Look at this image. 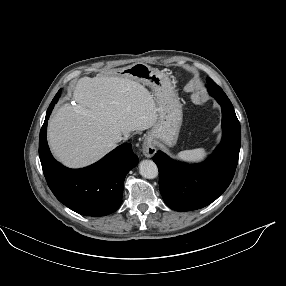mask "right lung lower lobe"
I'll return each mask as SVG.
<instances>
[{"label":"right lung lower lobe","mask_w":286,"mask_h":286,"mask_svg":"<svg viewBox=\"0 0 286 286\" xmlns=\"http://www.w3.org/2000/svg\"><path fill=\"white\" fill-rule=\"evenodd\" d=\"M59 97L60 92L49 105L39 137V157L48 186L61 203L81 215L113 213L122 203L124 179L138 164V157L131 144L125 143L86 168L70 169L57 162L50 153L46 131Z\"/></svg>","instance_id":"obj_1"}]
</instances>
